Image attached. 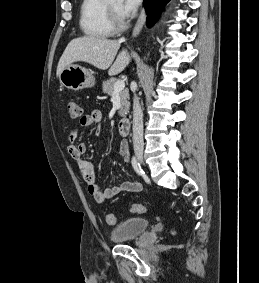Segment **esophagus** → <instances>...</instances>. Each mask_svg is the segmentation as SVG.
<instances>
[{"label": "esophagus", "instance_id": "1", "mask_svg": "<svg viewBox=\"0 0 259 283\" xmlns=\"http://www.w3.org/2000/svg\"><path fill=\"white\" fill-rule=\"evenodd\" d=\"M145 19H146V13H145V10L143 9L136 23V26L134 27V30L132 33L133 37H137L139 35L140 31L142 30L145 24Z\"/></svg>", "mask_w": 259, "mask_h": 283}]
</instances>
